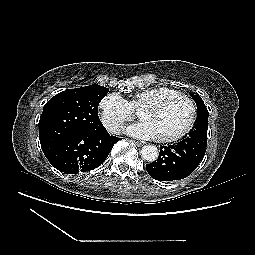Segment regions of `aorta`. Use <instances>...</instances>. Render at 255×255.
<instances>
[{"mask_svg": "<svg viewBox=\"0 0 255 255\" xmlns=\"http://www.w3.org/2000/svg\"><path fill=\"white\" fill-rule=\"evenodd\" d=\"M159 152L154 145H145L141 149V156L148 162H154L158 158Z\"/></svg>", "mask_w": 255, "mask_h": 255, "instance_id": "762f6f07", "label": "aorta"}]
</instances>
